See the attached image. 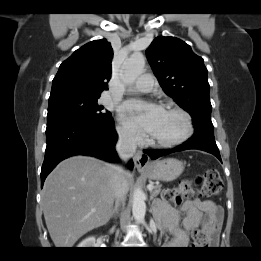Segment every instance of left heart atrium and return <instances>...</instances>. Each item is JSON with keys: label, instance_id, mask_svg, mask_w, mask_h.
<instances>
[{"label": "left heart atrium", "instance_id": "39dd6f15", "mask_svg": "<svg viewBox=\"0 0 261 261\" xmlns=\"http://www.w3.org/2000/svg\"><path fill=\"white\" fill-rule=\"evenodd\" d=\"M122 111L131 125L151 134L155 130L163 110L152 103L129 100L122 105Z\"/></svg>", "mask_w": 261, "mask_h": 261}]
</instances>
